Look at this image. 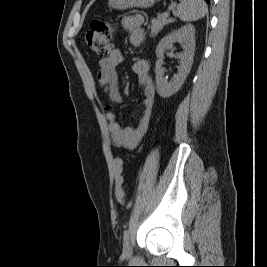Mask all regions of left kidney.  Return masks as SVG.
Listing matches in <instances>:
<instances>
[{"label": "left kidney", "mask_w": 267, "mask_h": 267, "mask_svg": "<svg viewBox=\"0 0 267 267\" xmlns=\"http://www.w3.org/2000/svg\"><path fill=\"white\" fill-rule=\"evenodd\" d=\"M175 42H184V51L178 55L180 65L178 73L171 81L164 77L163 56L166 49L172 48ZM195 51V28L193 25H185L161 39L156 47L157 61L155 63L156 89L162 98H168L178 92L188 76L193 63Z\"/></svg>", "instance_id": "5707ae66"}]
</instances>
